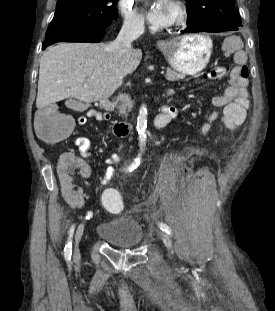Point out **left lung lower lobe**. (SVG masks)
<instances>
[{
	"mask_svg": "<svg viewBox=\"0 0 275 311\" xmlns=\"http://www.w3.org/2000/svg\"><path fill=\"white\" fill-rule=\"evenodd\" d=\"M239 27H233L224 24L222 21L211 20L203 23H197L188 25L187 29L183 32H224V31H235Z\"/></svg>",
	"mask_w": 275,
	"mask_h": 311,
	"instance_id": "left-lung-lower-lobe-1",
	"label": "left lung lower lobe"
}]
</instances>
